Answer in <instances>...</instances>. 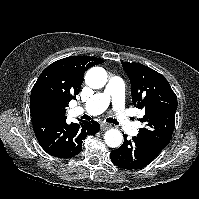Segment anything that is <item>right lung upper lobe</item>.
Masks as SVG:
<instances>
[{"label":"right lung upper lobe","mask_w":199,"mask_h":199,"mask_svg":"<svg viewBox=\"0 0 199 199\" xmlns=\"http://www.w3.org/2000/svg\"><path fill=\"white\" fill-rule=\"evenodd\" d=\"M103 62L104 60L96 57L71 56L49 65L41 73L31 91L32 119L38 117L66 119V107L79 93L85 71ZM40 100H47L48 108L40 107Z\"/></svg>","instance_id":"1"}]
</instances>
